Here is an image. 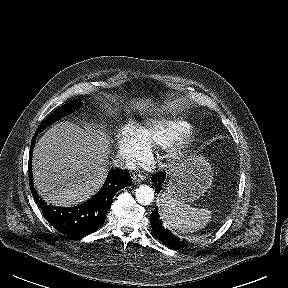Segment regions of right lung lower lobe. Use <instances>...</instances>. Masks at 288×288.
Listing matches in <instances>:
<instances>
[{"label": "right lung lower lobe", "mask_w": 288, "mask_h": 288, "mask_svg": "<svg viewBox=\"0 0 288 288\" xmlns=\"http://www.w3.org/2000/svg\"><path fill=\"white\" fill-rule=\"evenodd\" d=\"M39 131H36L38 134ZM36 135L32 138L29 154V180L32 195L40 206L46 220L60 233L70 238H80L97 231L105 222L115 194L131 185L128 171H111L101 189L87 202L75 207H54L47 205L37 194L32 183L31 158Z\"/></svg>", "instance_id": "obj_1"}]
</instances>
